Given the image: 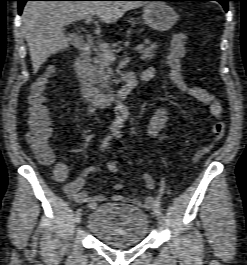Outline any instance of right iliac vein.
I'll use <instances>...</instances> for the list:
<instances>
[{"mask_svg":"<svg viewBox=\"0 0 247 265\" xmlns=\"http://www.w3.org/2000/svg\"><path fill=\"white\" fill-rule=\"evenodd\" d=\"M82 219V210L78 209L75 213V222L76 224H79L81 222Z\"/></svg>","mask_w":247,"mask_h":265,"instance_id":"obj_1","label":"right iliac vein"}]
</instances>
